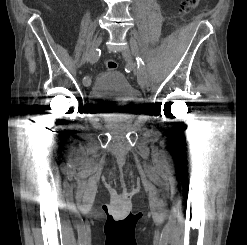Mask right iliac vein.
I'll use <instances>...</instances> for the list:
<instances>
[{
  "label": "right iliac vein",
  "instance_id": "1",
  "mask_svg": "<svg viewBox=\"0 0 247 245\" xmlns=\"http://www.w3.org/2000/svg\"><path fill=\"white\" fill-rule=\"evenodd\" d=\"M103 39V35L100 34L93 42L91 50H90V54L88 57V61L92 64H97L98 62V57H92V55L96 52V50L98 49V47L100 46L101 42ZM83 84L84 86L88 87L91 84V78L89 76H85L83 78Z\"/></svg>",
  "mask_w": 247,
  "mask_h": 245
}]
</instances>
